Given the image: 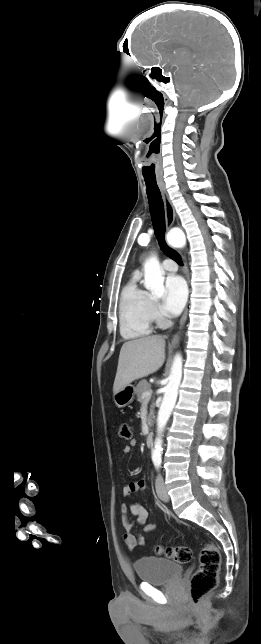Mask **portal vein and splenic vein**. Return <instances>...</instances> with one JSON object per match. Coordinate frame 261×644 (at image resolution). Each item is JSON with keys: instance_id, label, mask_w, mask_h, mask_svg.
Masks as SVG:
<instances>
[{"instance_id": "18ae733b", "label": "portal vein and splenic vein", "mask_w": 261, "mask_h": 644, "mask_svg": "<svg viewBox=\"0 0 261 644\" xmlns=\"http://www.w3.org/2000/svg\"><path fill=\"white\" fill-rule=\"evenodd\" d=\"M151 395H152V391L150 390V391L144 392L142 397L144 399L148 400V399H150Z\"/></svg>"}]
</instances>
